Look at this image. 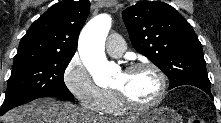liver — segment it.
<instances>
[{
    "label": "liver",
    "mask_w": 221,
    "mask_h": 123,
    "mask_svg": "<svg viewBox=\"0 0 221 123\" xmlns=\"http://www.w3.org/2000/svg\"><path fill=\"white\" fill-rule=\"evenodd\" d=\"M4 123H132L97 116L68 102L45 98L8 111Z\"/></svg>",
    "instance_id": "1"
}]
</instances>
